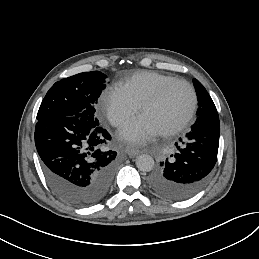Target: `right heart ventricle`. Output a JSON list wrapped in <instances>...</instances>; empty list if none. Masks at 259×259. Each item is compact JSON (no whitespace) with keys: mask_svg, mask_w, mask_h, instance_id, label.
<instances>
[{"mask_svg":"<svg viewBox=\"0 0 259 259\" xmlns=\"http://www.w3.org/2000/svg\"><path fill=\"white\" fill-rule=\"evenodd\" d=\"M172 74L153 71L134 73L119 84V88L139 105L157 90L164 81L173 78Z\"/></svg>","mask_w":259,"mask_h":259,"instance_id":"e07e8e85","label":"right heart ventricle"}]
</instances>
